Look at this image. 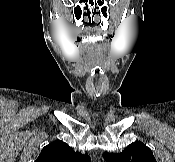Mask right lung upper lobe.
Instances as JSON below:
<instances>
[{
    "label": "right lung upper lobe",
    "instance_id": "1",
    "mask_svg": "<svg viewBox=\"0 0 175 162\" xmlns=\"http://www.w3.org/2000/svg\"><path fill=\"white\" fill-rule=\"evenodd\" d=\"M87 154L75 152L63 141H54L45 146L35 162H89Z\"/></svg>",
    "mask_w": 175,
    "mask_h": 162
}]
</instances>
